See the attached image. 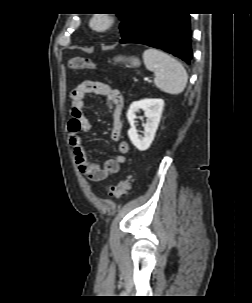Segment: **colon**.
Masks as SVG:
<instances>
[{"mask_svg": "<svg viewBox=\"0 0 252 303\" xmlns=\"http://www.w3.org/2000/svg\"><path fill=\"white\" fill-rule=\"evenodd\" d=\"M68 66L70 69H74V70H78V69L94 70L96 68V65L92 61L80 57L71 59L68 63ZM130 184H131V178L125 177L121 179L117 184L107 186L106 190L110 197L120 198L128 192L130 188Z\"/></svg>", "mask_w": 252, "mask_h": 303, "instance_id": "5ec220e1", "label": "colon"}]
</instances>
